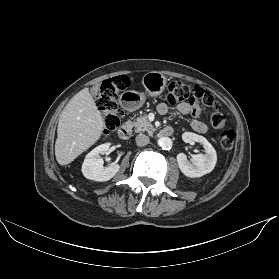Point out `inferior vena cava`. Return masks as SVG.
Returning a JSON list of instances; mask_svg holds the SVG:
<instances>
[{
  "mask_svg": "<svg viewBox=\"0 0 279 279\" xmlns=\"http://www.w3.org/2000/svg\"><path fill=\"white\" fill-rule=\"evenodd\" d=\"M135 140H136V144L140 147L145 146L149 143V137L146 136L145 134H138Z\"/></svg>",
  "mask_w": 279,
  "mask_h": 279,
  "instance_id": "inferior-vena-cava-1",
  "label": "inferior vena cava"
}]
</instances>
